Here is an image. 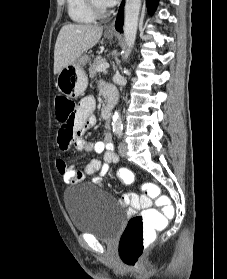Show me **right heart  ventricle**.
Wrapping results in <instances>:
<instances>
[{
  "mask_svg": "<svg viewBox=\"0 0 227 279\" xmlns=\"http://www.w3.org/2000/svg\"><path fill=\"white\" fill-rule=\"evenodd\" d=\"M68 15L71 20L81 24L94 21L95 16L89 11L85 0H67Z\"/></svg>",
  "mask_w": 227,
  "mask_h": 279,
  "instance_id": "e07e8e85",
  "label": "right heart ventricle"
}]
</instances>
